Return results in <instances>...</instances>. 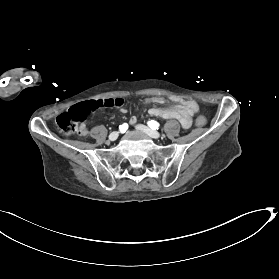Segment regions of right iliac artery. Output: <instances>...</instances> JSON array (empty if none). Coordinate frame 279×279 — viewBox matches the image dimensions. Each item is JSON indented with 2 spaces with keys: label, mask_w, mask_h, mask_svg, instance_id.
<instances>
[{
  "label": "right iliac artery",
  "mask_w": 279,
  "mask_h": 279,
  "mask_svg": "<svg viewBox=\"0 0 279 279\" xmlns=\"http://www.w3.org/2000/svg\"><path fill=\"white\" fill-rule=\"evenodd\" d=\"M127 129H128V124H126V123H124V124H122V125L119 126V131H120L121 133L126 132Z\"/></svg>",
  "instance_id": "obj_1"
}]
</instances>
